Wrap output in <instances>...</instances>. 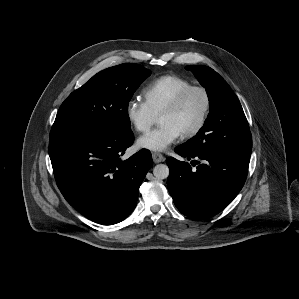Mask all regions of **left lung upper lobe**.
<instances>
[{
	"label": "left lung upper lobe",
	"instance_id": "1",
	"mask_svg": "<svg viewBox=\"0 0 299 299\" xmlns=\"http://www.w3.org/2000/svg\"><path fill=\"white\" fill-rule=\"evenodd\" d=\"M206 89L210 112L198 133L182 144L202 155L237 154L250 156L252 137L242 106L224 79L212 68L186 66Z\"/></svg>",
	"mask_w": 299,
	"mask_h": 299
}]
</instances>
